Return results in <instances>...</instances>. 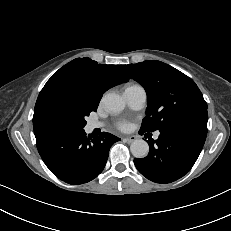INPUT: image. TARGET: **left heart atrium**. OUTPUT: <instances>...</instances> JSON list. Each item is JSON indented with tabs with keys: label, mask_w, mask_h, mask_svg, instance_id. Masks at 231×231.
Returning <instances> with one entry per match:
<instances>
[{
	"label": "left heart atrium",
	"mask_w": 231,
	"mask_h": 231,
	"mask_svg": "<svg viewBox=\"0 0 231 231\" xmlns=\"http://www.w3.org/2000/svg\"><path fill=\"white\" fill-rule=\"evenodd\" d=\"M116 126L121 130H126L129 128V122L126 120H120L116 123Z\"/></svg>",
	"instance_id": "left-heart-atrium-1"
}]
</instances>
